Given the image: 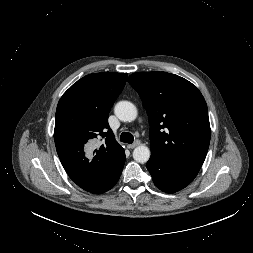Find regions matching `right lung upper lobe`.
Masks as SVG:
<instances>
[{"instance_id":"obj_1","label":"right lung upper lobe","mask_w":253,"mask_h":253,"mask_svg":"<svg viewBox=\"0 0 253 253\" xmlns=\"http://www.w3.org/2000/svg\"><path fill=\"white\" fill-rule=\"evenodd\" d=\"M126 79V73L89 74L58 103L54 140L59 159L71 180L88 192L103 184L125 155L109 128L108 114ZM85 145L97 149L86 156Z\"/></svg>"}]
</instances>
